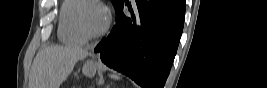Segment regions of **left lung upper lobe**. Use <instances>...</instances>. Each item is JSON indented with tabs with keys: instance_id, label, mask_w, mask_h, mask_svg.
<instances>
[{
	"instance_id": "5c2ea615",
	"label": "left lung upper lobe",
	"mask_w": 267,
	"mask_h": 88,
	"mask_svg": "<svg viewBox=\"0 0 267 88\" xmlns=\"http://www.w3.org/2000/svg\"><path fill=\"white\" fill-rule=\"evenodd\" d=\"M124 0H112V3L115 8H117Z\"/></svg>"
}]
</instances>
